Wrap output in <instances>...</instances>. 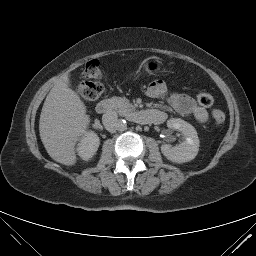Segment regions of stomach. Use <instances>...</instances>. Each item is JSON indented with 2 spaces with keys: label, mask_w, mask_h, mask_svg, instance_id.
<instances>
[{
  "label": "stomach",
  "mask_w": 256,
  "mask_h": 256,
  "mask_svg": "<svg viewBox=\"0 0 256 256\" xmlns=\"http://www.w3.org/2000/svg\"><path fill=\"white\" fill-rule=\"evenodd\" d=\"M159 63L156 60H146L145 61V69L149 74H154L159 70Z\"/></svg>",
  "instance_id": "1"
}]
</instances>
